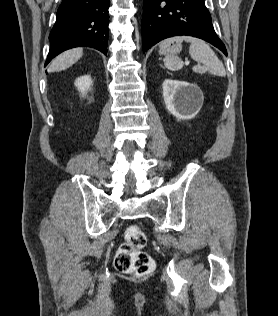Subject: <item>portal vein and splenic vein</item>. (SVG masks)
<instances>
[{
	"instance_id": "1",
	"label": "portal vein and splenic vein",
	"mask_w": 278,
	"mask_h": 316,
	"mask_svg": "<svg viewBox=\"0 0 278 316\" xmlns=\"http://www.w3.org/2000/svg\"><path fill=\"white\" fill-rule=\"evenodd\" d=\"M185 64L188 65V64H189V61L187 60V61L185 62Z\"/></svg>"
}]
</instances>
